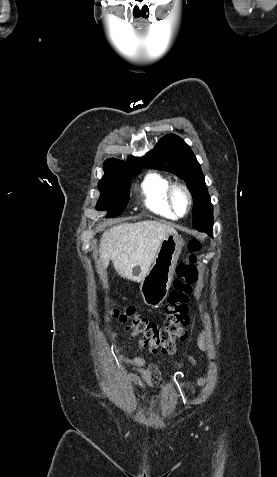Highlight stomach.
Segmentation results:
<instances>
[{
	"label": "stomach",
	"instance_id": "0dacf381",
	"mask_svg": "<svg viewBox=\"0 0 277 477\" xmlns=\"http://www.w3.org/2000/svg\"><path fill=\"white\" fill-rule=\"evenodd\" d=\"M183 245L177 233L169 234L162 240L152 266L139 287L146 305L157 307L166 299Z\"/></svg>",
	"mask_w": 277,
	"mask_h": 477
}]
</instances>
